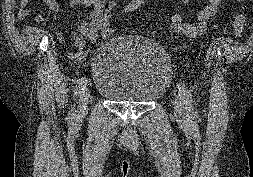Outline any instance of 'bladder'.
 <instances>
[{"instance_id": "1", "label": "bladder", "mask_w": 253, "mask_h": 177, "mask_svg": "<svg viewBox=\"0 0 253 177\" xmlns=\"http://www.w3.org/2000/svg\"><path fill=\"white\" fill-rule=\"evenodd\" d=\"M95 92L115 103H151L165 93L171 64L163 48L150 40L110 37L91 65Z\"/></svg>"}]
</instances>
